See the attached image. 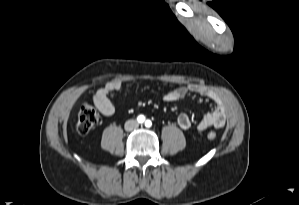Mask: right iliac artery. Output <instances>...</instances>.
Wrapping results in <instances>:
<instances>
[{
  "instance_id": "right-iliac-artery-1",
  "label": "right iliac artery",
  "mask_w": 299,
  "mask_h": 205,
  "mask_svg": "<svg viewBox=\"0 0 299 205\" xmlns=\"http://www.w3.org/2000/svg\"><path fill=\"white\" fill-rule=\"evenodd\" d=\"M137 121L139 123H143L145 121V117L143 115H139L138 118H137Z\"/></svg>"
}]
</instances>
